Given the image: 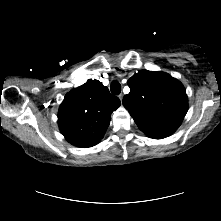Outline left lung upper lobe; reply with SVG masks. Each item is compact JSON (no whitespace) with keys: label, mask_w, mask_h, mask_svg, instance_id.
<instances>
[{"label":"left lung upper lobe","mask_w":221,"mask_h":221,"mask_svg":"<svg viewBox=\"0 0 221 221\" xmlns=\"http://www.w3.org/2000/svg\"><path fill=\"white\" fill-rule=\"evenodd\" d=\"M130 93L123 105L137 126L150 138L170 136L181 124L188 109L183 85L164 72L142 70L128 81Z\"/></svg>","instance_id":"5c2ea615"}]
</instances>
